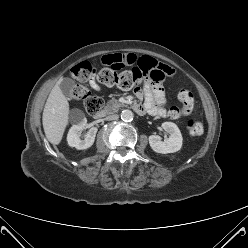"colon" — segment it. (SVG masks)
I'll list each match as a JSON object with an SVG mask.
<instances>
[{
    "label": "colon",
    "instance_id": "colon-1",
    "mask_svg": "<svg viewBox=\"0 0 248 248\" xmlns=\"http://www.w3.org/2000/svg\"><path fill=\"white\" fill-rule=\"evenodd\" d=\"M93 76H96L97 80L103 85L117 86L124 90L139 87L148 80L158 84L165 78H157L154 70L149 73L137 68L123 72H118L111 67H103L100 70H97L96 65L89 62L81 63L75 66L72 70L73 79L80 82H86ZM71 97L74 100L82 101L87 112L91 115L96 114L102 109L103 100L99 96L92 94L85 86H75L71 91ZM178 99L181 103V108H171L169 111L171 118H178L182 114L190 112L194 107V96L189 89L180 88ZM187 129L193 136L200 135L203 132V123L197 117L190 118L187 122Z\"/></svg>",
    "mask_w": 248,
    "mask_h": 248
}]
</instances>
